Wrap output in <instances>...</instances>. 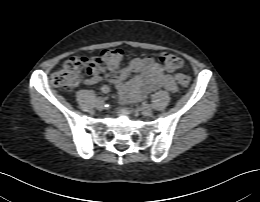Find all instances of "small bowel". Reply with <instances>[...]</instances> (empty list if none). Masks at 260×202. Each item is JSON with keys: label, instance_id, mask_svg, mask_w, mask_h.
Segmentation results:
<instances>
[{"label": "small bowel", "instance_id": "c3829d8e", "mask_svg": "<svg viewBox=\"0 0 260 202\" xmlns=\"http://www.w3.org/2000/svg\"><path fill=\"white\" fill-rule=\"evenodd\" d=\"M103 79H107L115 86L119 99L123 103L142 100L149 93L160 88L171 92L177 91L174 78L166 74L151 56L131 59L125 66L109 68L107 72L94 71L84 83L95 85ZM100 90L109 93L110 87L102 85Z\"/></svg>", "mask_w": 260, "mask_h": 202}]
</instances>
